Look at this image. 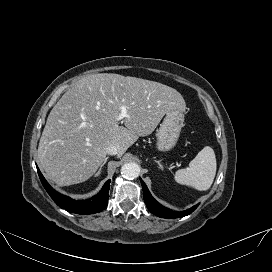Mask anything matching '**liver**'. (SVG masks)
I'll use <instances>...</instances> for the list:
<instances>
[{"label": "liver", "mask_w": 272, "mask_h": 272, "mask_svg": "<svg viewBox=\"0 0 272 272\" xmlns=\"http://www.w3.org/2000/svg\"><path fill=\"white\" fill-rule=\"evenodd\" d=\"M120 105L127 107L125 127L117 121ZM185 109L182 95L159 82L112 73L84 77L47 118L38 147L40 167L60 186L84 182L104 162L107 146L116 145L121 157L168 111Z\"/></svg>", "instance_id": "1"}]
</instances>
